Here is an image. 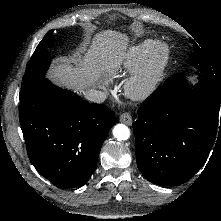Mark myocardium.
I'll return each mask as SVG.
<instances>
[{
    "instance_id": "f54148a6",
    "label": "myocardium",
    "mask_w": 221,
    "mask_h": 221,
    "mask_svg": "<svg viewBox=\"0 0 221 221\" xmlns=\"http://www.w3.org/2000/svg\"><path fill=\"white\" fill-rule=\"evenodd\" d=\"M169 60V48L158 42L144 60L136 68L132 77L126 83V93L134 100H141L149 96L160 82Z\"/></svg>"
}]
</instances>
